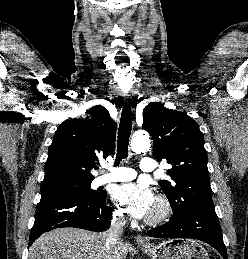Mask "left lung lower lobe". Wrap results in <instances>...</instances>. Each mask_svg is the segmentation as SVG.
Segmentation results:
<instances>
[{"instance_id": "obj_1", "label": "left lung lower lobe", "mask_w": 248, "mask_h": 259, "mask_svg": "<svg viewBox=\"0 0 248 259\" xmlns=\"http://www.w3.org/2000/svg\"><path fill=\"white\" fill-rule=\"evenodd\" d=\"M147 235L156 238H194L213 246L224 259L227 251L215 209H198L183 214H173L170 221Z\"/></svg>"}]
</instances>
